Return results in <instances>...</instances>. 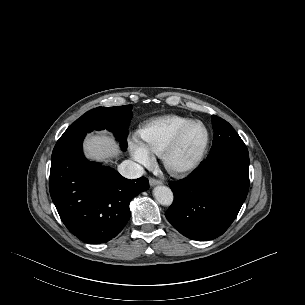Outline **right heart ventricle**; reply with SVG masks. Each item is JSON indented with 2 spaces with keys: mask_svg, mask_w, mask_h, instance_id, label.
Returning <instances> with one entry per match:
<instances>
[{
  "mask_svg": "<svg viewBox=\"0 0 305 305\" xmlns=\"http://www.w3.org/2000/svg\"><path fill=\"white\" fill-rule=\"evenodd\" d=\"M192 119L167 115L147 122L139 131L142 145L151 153L161 155L178 132Z\"/></svg>",
  "mask_w": 305,
  "mask_h": 305,
  "instance_id": "e07e8e85",
  "label": "right heart ventricle"
}]
</instances>
